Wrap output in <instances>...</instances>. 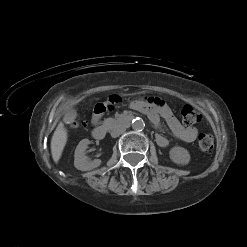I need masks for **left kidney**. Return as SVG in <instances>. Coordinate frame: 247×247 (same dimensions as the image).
I'll list each match as a JSON object with an SVG mask.
<instances>
[{"label": "left kidney", "instance_id": "5707ae66", "mask_svg": "<svg viewBox=\"0 0 247 247\" xmlns=\"http://www.w3.org/2000/svg\"><path fill=\"white\" fill-rule=\"evenodd\" d=\"M169 157L177 165H187L190 162V154L187 149L175 146L170 149Z\"/></svg>", "mask_w": 247, "mask_h": 247}]
</instances>
